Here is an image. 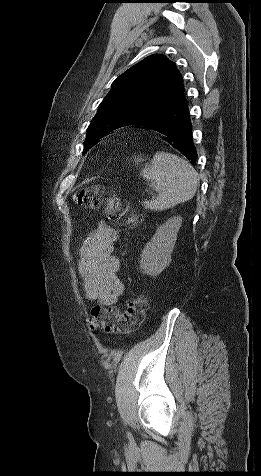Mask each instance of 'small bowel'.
<instances>
[{
  "instance_id": "small-bowel-1",
  "label": "small bowel",
  "mask_w": 261,
  "mask_h": 476,
  "mask_svg": "<svg viewBox=\"0 0 261 476\" xmlns=\"http://www.w3.org/2000/svg\"><path fill=\"white\" fill-rule=\"evenodd\" d=\"M119 232L101 222L83 242L79 250L78 272L87 299L98 301L103 306L118 302L124 286L117 273L119 259L115 245Z\"/></svg>"
}]
</instances>
